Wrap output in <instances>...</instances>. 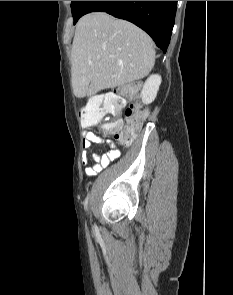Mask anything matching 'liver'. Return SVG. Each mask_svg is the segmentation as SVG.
Masks as SVG:
<instances>
[{"mask_svg": "<svg viewBox=\"0 0 233 295\" xmlns=\"http://www.w3.org/2000/svg\"><path fill=\"white\" fill-rule=\"evenodd\" d=\"M154 63L152 39L134 24L105 12L78 21L71 50V84L77 98L142 79Z\"/></svg>", "mask_w": 233, "mask_h": 295, "instance_id": "6515ba94", "label": "liver"}]
</instances>
